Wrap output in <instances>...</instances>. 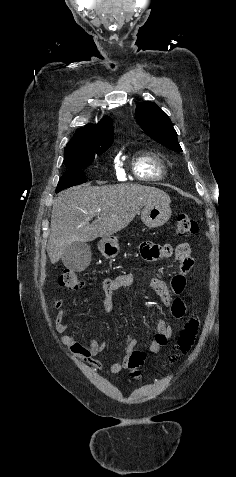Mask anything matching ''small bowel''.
<instances>
[{"label": "small bowel", "mask_w": 236, "mask_h": 477, "mask_svg": "<svg viewBox=\"0 0 236 477\" xmlns=\"http://www.w3.org/2000/svg\"><path fill=\"white\" fill-rule=\"evenodd\" d=\"M190 252V246L187 243H181L177 246L175 256L180 263L179 272L172 278L171 287L157 277H152L148 280V287L157 294L164 305L170 307L172 316L175 319H183L186 315V305L182 300L181 295L185 290V276L192 270L194 265V260L191 257ZM173 253V246L169 243L155 244L152 242H146L141 247V256L148 261L167 259L170 258ZM132 284L133 277L130 274H122L114 278H106L103 281L102 303L106 313L111 312L113 309L114 294L122 289L130 287ZM53 305L58 310V314L55 318L56 330L60 333H64L68 328V324L65 320L66 313L64 310V301L57 298ZM172 334V326L163 320L159 321L148 352L150 354H157L167 343L168 339L171 338ZM61 340L73 353L82 357L84 360L89 361L96 369L100 370L102 368V362L98 355L105 350V343L94 339L89 345H84L71 333L63 334ZM136 344L137 341L133 337H128L126 339L123 345L122 358L110 365L109 370L112 374H117L129 366V358Z\"/></svg>", "instance_id": "obj_1"}]
</instances>
